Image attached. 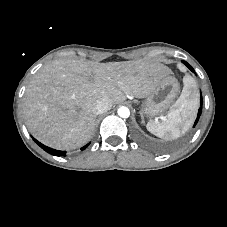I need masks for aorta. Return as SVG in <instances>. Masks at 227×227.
Segmentation results:
<instances>
[{"label":"aorta","mask_w":227,"mask_h":227,"mask_svg":"<svg viewBox=\"0 0 227 227\" xmlns=\"http://www.w3.org/2000/svg\"><path fill=\"white\" fill-rule=\"evenodd\" d=\"M117 113L121 118H128L130 116V110L125 106L119 107Z\"/></svg>","instance_id":"aorta-1"}]
</instances>
